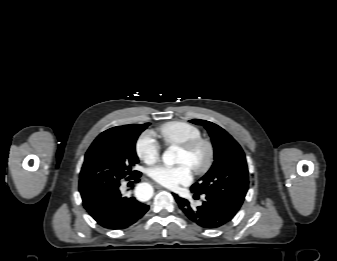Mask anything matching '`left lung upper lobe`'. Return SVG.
I'll return each mask as SVG.
<instances>
[{"label":"left lung upper lobe","instance_id":"5c2ea615","mask_svg":"<svg viewBox=\"0 0 337 261\" xmlns=\"http://www.w3.org/2000/svg\"><path fill=\"white\" fill-rule=\"evenodd\" d=\"M190 122L204 126L214 147V163L211 169L192 185L191 191L214 197L238 212L248 190V168L240 145L218 125L194 119Z\"/></svg>","mask_w":337,"mask_h":261}]
</instances>
